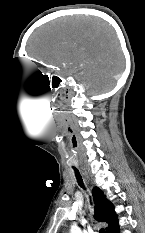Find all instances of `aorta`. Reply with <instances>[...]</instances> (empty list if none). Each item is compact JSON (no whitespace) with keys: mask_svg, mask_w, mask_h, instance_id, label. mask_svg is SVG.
<instances>
[{"mask_svg":"<svg viewBox=\"0 0 145 233\" xmlns=\"http://www.w3.org/2000/svg\"><path fill=\"white\" fill-rule=\"evenodd\" d=\"M70 233H80L75 224L71 227Z\"/></svg>","mask_w":145,"mask_h":233,"instance_id":"762f6f07","label":"aorta"}]
</instances>
